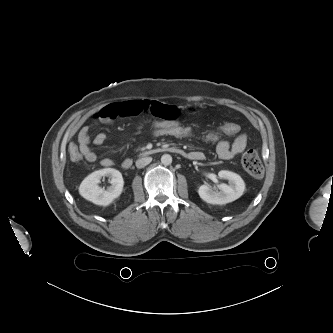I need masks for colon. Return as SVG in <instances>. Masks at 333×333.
<instances>
[{
	"label": "colon",
	"mask_w": 333,
	"mask_h": 333,
	"mask_svg": "<svg viewBox=\"0 0 333 333\" xmlns=\"http://www.w3.org/2000/svg\"><path fill=\"white\" fill-rule=\"evenodd\" d=\"M148 133L153 137H170L178 139L200 138L206 141H218L223 137L237 136L240 126L234 122H222L215 128L205 131L198 127L177 122H154L147 128ZM69 156L72 161H80L82 155L79 148L71 144L69 146ZM243 168L251 176L261 178L264 168L257 150L250 148L246 150L242 157Z\"/></svg>",
	"instance_id": "colon-1"
}]
</instances>
